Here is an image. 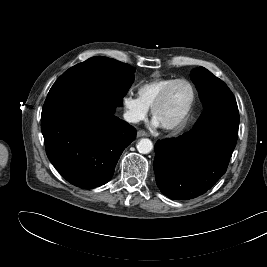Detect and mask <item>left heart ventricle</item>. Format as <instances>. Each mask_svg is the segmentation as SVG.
<instances>
[{
    "mask_svg": "<svg viewBox=\"0 0 267 267\" xmlns=\"http://www.w3.org/2000/svg\"><path fill=\"white\" fill-rule=\"evenodd\" d=\"M191 98V88L185 83L177 84L172 88L163 104L157 109L155 119L159 124L176 122L185 113Z\"/></svg>",
    "mask_w": 267,
    "mask_h": 267,
    "instance_id": "left-heart-ventricle-1",
    "label": "left heart ventricle"
}]
</instances>
